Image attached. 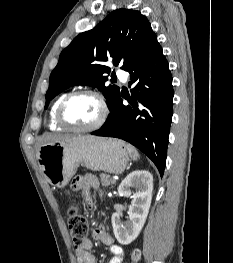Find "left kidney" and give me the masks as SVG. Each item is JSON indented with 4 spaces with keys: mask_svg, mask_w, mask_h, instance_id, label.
I'll list each match as a JSON object with an SVG mask.
<instances>
[{
    "mask_svg": "<svg viewBox=\"0 0 233 263\" xmlns=\"http://www.w3.org/2000/svg\"><path fill=\"white\" fill-rule=\"evenodd\" d=\"M131 188L136 189L132 196ZM152 191L153 176L146 170L131 172L119 185V195L132 198L126 222H122L120 213L116 212L112 215L113 232L120 244L128 245L139 235L149 212Z\"/></svg>",
    "mask_w": 233,
    "mask_h": 263,
    "instance_id": "left-kidney-1",
    "label": "left kidney"
}]
</instances>
